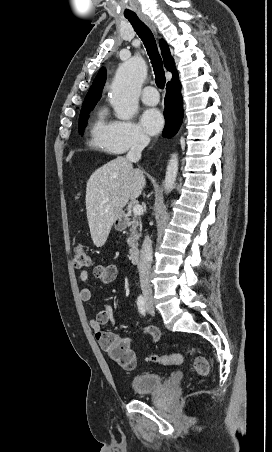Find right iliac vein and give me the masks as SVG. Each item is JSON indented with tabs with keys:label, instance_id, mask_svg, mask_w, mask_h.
Wrapping results in <instances>:
<instances>
[{
	"label": "right iliac vein",
	"instance_id": "obj_1",
	"mask_svg": "<svg viewBox=\"0 0 272 452\" xmlns=\"http://www.w3.org/2000/svg\"><path fill=\"white\" fill-rule=\"evenodd\" d=\"M148 306H149V307H152V303H148Z\"/></svg>",
	"mask_w": 272,
	"mask_h": 452
}]
</instances>
